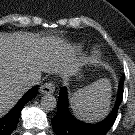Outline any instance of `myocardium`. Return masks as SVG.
<instances>
[{"mask_svg":"<svg viewBox=\"0 0 135 135\" xmlns=\"http://www.w3.org/2000/svg\"><path fill=\"white\" fill-rule=\"evenodd\" d=\"M99 51H94L93 52V56H92V60L93 61H96L98 58H99Z\"/></svg>","mask_w":135,"mask_h":135,"instance_id":"f54148a6","label":"myocardium"}]
</instances>
